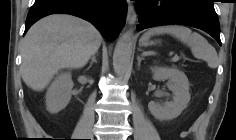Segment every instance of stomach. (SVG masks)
<instances>
[{"instance_id": "obj_1", "label": "stomach", "mask_w": 236, "mask_h": 140, "mask_svg": "<svg viewBox=\"0 0 236 140\" xmlns=\"http://www.w3.org/2000/svg\"><path fill=\"white\" fill-rule=\"evenodd\" d=\"M142 41V44L143 45H149L150 44V42L148 41V39L147 40H141Z\"/></svg>"}]
</instances>
